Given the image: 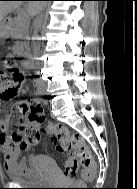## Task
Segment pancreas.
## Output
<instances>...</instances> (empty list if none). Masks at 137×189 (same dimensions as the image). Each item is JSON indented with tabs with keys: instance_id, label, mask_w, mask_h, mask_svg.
<instances>
[{
	"instance_id": "cf45deb5",
	"label": "pancreas",
	"mask_w": 137,
	"mask_h": 189,
	"mask_svg": "<svg viewBox=\"0 0 137 189\" xmlns=\"http://www.w3.org/2000/svg\"><path fill=\"white\" fill-rule=\"evenodd\" d=\"M29 21L27 19L16 18L13 33L15 38L25 40L28 37Z\"/></svg>"
}]
</instances>
